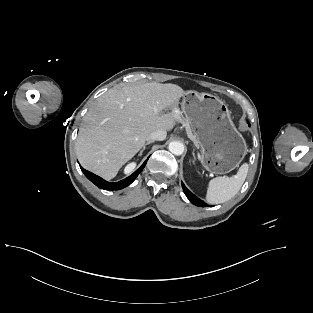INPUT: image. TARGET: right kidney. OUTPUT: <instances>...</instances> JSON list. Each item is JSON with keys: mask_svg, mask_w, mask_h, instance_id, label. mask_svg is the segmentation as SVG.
Segmentation results:
<instances>
[{"mask_svg": "<svg viewBox=\"0 0 313 313\" xmlns=\"http://www.w3.org/2000/svg\"><path fill=\"white\" fill-rule=\"evenodd\" d=\"M136 166V163L132 162L130 164H128L125 169H124V172L125 173H130Z\"/></svg>", "mask_w": 313, "mask_h": 313, "instance_id": "right-kidney-1", "label": "right kidney"}]
</instances>
